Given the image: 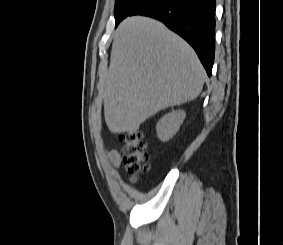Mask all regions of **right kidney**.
<instances>
[{
	"mask_svg": "<svg viewBox=\"0 0 283 245\" xmlns=\"http://www.w3.org/2000/svg\"><path fill=\"white\" fill-rule=\"evenodd\" d=\"M185 112L178 110L166 114L157 123V136L161 141H168L171 139L176 132L179 130L180 125L185 119Z\"/></svg>",
	"mask_w": 283,
	"mask_h": 245,
	"instance_id": "1",
	"label": "right kidney"
}]
</instances>
